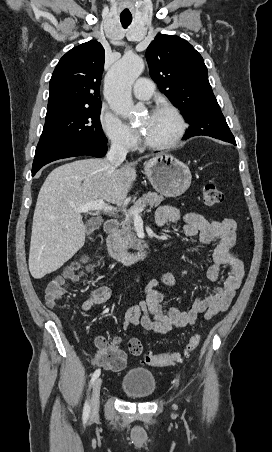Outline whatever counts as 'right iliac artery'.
<instances>
[{
	"label": "right iliac artery",
	"instance_id": "obj_1",
	"mask_svg": "<svg viewBox=\"0 0 272 452\" xmlns=\"http://www.w3.org/2000/svg\"><path fill=\"white\" fill-rule=\"evenodd\" d=\"M100 373H101V370H100V369H97V370L93 373L92 378H91V384H90V386H91V385L94 383V381L99 377ZM89 413H90V405H89V402L86 401V402H85V405H84V409H83V417H84L85 419H87V418L89 417Z\"/></svg>",
	"mask_w": 272,
	"mask_h": 452
}]
</instances>
